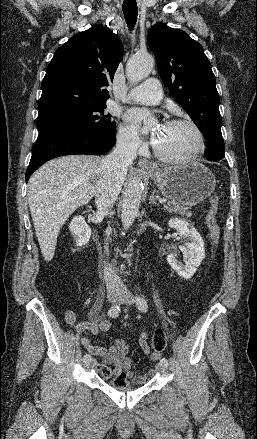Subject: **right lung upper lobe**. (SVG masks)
<instances>
[{"mask_svg":"<svg viewBox=\"0 0 257 439\" xmlns=\"http://www.w3.org/2000/svg\"><path fill=\"white\" fill-rule=\"evenodd\" d=\"M122 58L121 40L108 27L95 25L71 37L46 69L38 119L105 104Z\"/></svg>","mask_w":257,"mask_h":439,"instance_id":"right-lung-upper-lobe-1","label":"right lung upper lobe"}]
</instances>
